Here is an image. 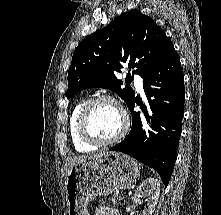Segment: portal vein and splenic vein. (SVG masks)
<instances>
[{
  "label": "portal vein and splenic vein",
  "mask_w": 221,
  "mask_h": 215,
  "mask_svg": "<svg viewBox=\"0 0 221 215\" xmlns=\"http://www.w3.org/2000/svg\"><path fill=\"white\" fill-rule=\"evenodd\" d=\"M122 199H123V197L120 196V200H122Z\"/></svg>",
  "instance_id": "portal-vein-and-splenic-vein-1"
}]
</instances>
